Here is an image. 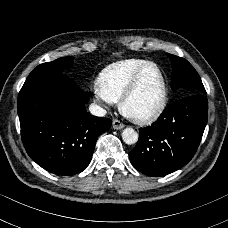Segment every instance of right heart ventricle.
I'll list each match as a JSON object with an SVG mask.
<instances>
[{"label": "right heart ventricle", "instance_id": "obj_1", "mask_svg": "<svg viewBox=\"0 0 228 228\" xmlns=\"http://www.w3.org/2000/svg\"><path fill=\"white\" fill-rule=\"evenodd\" d=\"M153 63L145 59H123L106 66L97 78V90L111 102H119L136 73Z\"/></svg>", "mask_w": 228, "mask_h": 228}]
</instances>
